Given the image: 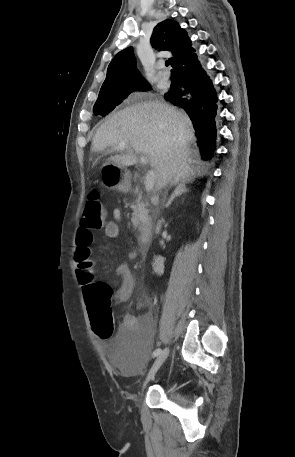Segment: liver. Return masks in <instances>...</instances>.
I'll return each mask as SVG.
<instances>
[{"label":"liver","instance_id":"obj_1","mask_svg":"<svg viewBox=\"0 0 295 457\" xmlns=\"http://www.w3.org/2000/svg\"><path fill=\"white\" fill-rule=\"evenodd\" d=\"M194 130L188 116L160 101L142 102L115 113L97 130L92 151L104 152L121 142L131 148L127 153L111 156L122 166L138 163L144 154L155 169V187L182 179L194 180L204 175L199 151L192 146Z\"/></svg>","mask_w":295,"mask_h":457}]
</instances>
